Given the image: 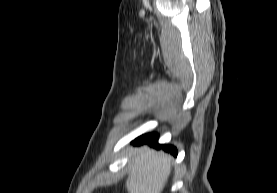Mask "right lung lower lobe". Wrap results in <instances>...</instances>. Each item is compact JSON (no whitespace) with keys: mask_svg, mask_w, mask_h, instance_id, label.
Wrapping results in <instances>:
<instances>
[{"mask_svg":"<svg viewBox=\"0 0 277 193\" xmlns=\"http://www.w3.org/2000/svg\"><path fill=\"white\" fill-rule=\"evenodd\" d=\"M158 140V135L157 134H145L142 135L138 138H136L133 143L134 144H143V143H148L151 146H154L156 148H163L165 151H168L172 153L173 155H177V149L174 146L171 145H160L157 142Z\"/></svg>","mask_w":277,"mask_h":193,"instance_id":"obj_1","label":"right lung lower lobe"}]
</instances>
